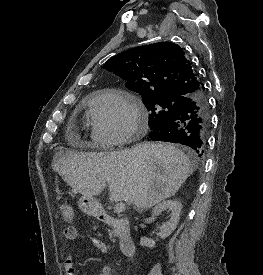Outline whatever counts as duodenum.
I'll use <instances>...</instances> for the list:
<instances>
[{"label": "duodenum", "mask_w": 263, "mask_h": 275, "mask_svg": "<svg viewBox=\"0 0 263 275\" xmlns=\"http://www.w3.org/2000/svg\"><path fill=\"white\" fill-rule=\"evenodd\" d=\"M100 218L103 222L112 225L116 229L121 253L126 257L133 256L135 253V243L129 221L107 213H103Z\"/></svg>", "instance_id": "obj_1"}]
</instances>
